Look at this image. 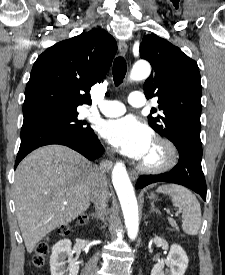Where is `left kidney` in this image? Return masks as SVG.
<instances>
[{
    "label": "left kidney",
    "mask_w": 225,
    "mask_h": 275,
    "mask_svg": "<svg viewBox=\"0 0 225 275\" xmlns=\"http://www.w3.org/2000/svg\"><path fill=\"white\" fill-rule=\"evenodd\" d=\"M188 257L180 245H171L168 257L154 265L151 275H184L188 267ZM164 263L168 264L169 270L163 271Z\"/></svg>",
    "instance_id": "1"
}]
</instances>
